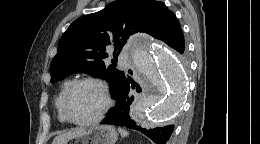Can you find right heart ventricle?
I'll list each match as a JSON object with an SVG mask.
<instances>
[{"instance_id":"1","label":"right heart ventricle","mask_w":260,"mask_h":144,"mask_svg":"<svg viewBox=\"0 0 260 144\" xmlns=\"http://www.w3.org/2000/svg\"><path fill=\"white\" fill-rule=\"evenodd\" d=\"M73 83L72 80H66L62 83L61 87H60V90L57 94V97L55 99V108H56V111H57V117H58V120L61 122V123H66V119L64 118L63 116V113H62V110H61V103H62V99H63V96L65 94V92L67 91V89L69 88V86Z\"/></svg>"}]
</instances>
